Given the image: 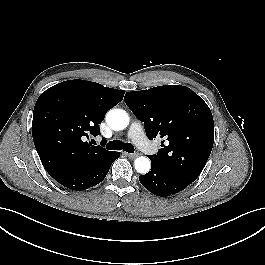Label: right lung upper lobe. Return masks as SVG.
Returning a JSON list of instances; mask_svg holds the SVG:
<instances>
[{
  "label": "right lung upper lobe",
  "mask_w": 265,
  "mask_h": 265,
  "mask_svg": "<svg viewBox=\"0 0 265 265\" xmlns=\"http://www.w3.org/2000/svg\"><path fill=\"white\" fill-rule=\"evenodd\" d=\"M124 94L95 82L68 80L40 95L33 111L32 136L50 176L99 163L113 153L86 138L100 135L106 112Z\"/></svg>",
  "instance_id": "cb5924a9"
}]
</instances>
